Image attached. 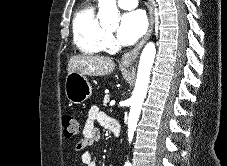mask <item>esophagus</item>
I'll use <instances>...</instances> for the list:
<instances>
[{
	"instance_id": "obj_1",
	"label": "esophagus",
	"mask_w": 227,
	"mask_h": 166,
	"mask_svg": "<svg viewBox=\"0 0 227 166\" xmlns=\"http://www.w3.org/2000/svg\"><path fill=\"white\" fill-rule=\"evenodd\" d=\"M148 1V10H149V27L143 38L140 40V42L129 52L125 53L122 56L121 64L123 65H129L135 62L136 58L139 55V52L143 45L147 42V40L150 38L153 29H154V16H153V6H152V0Z\"/></svg>"
}]
</instances>
